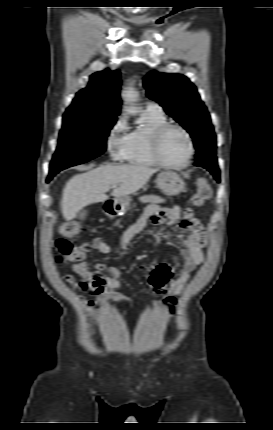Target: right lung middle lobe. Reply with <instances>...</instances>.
I'll list each match as a JSON object with an SVG mask.
<instances>
[{"label": "right lung middle lobe", "mask_w": 273, "mask_h": 430, "mask_svg": "<svg viewBox=\"0 0 273 430\" xmlns=\"http://www.w3.org/2000/svg\"><path fill=\"white\" fill-rule=\"evenodd\" d=\"M116 118H95L65 113L58 148L49 174L87 162L106 150V139Z\"/></svg>", "instance_id": "1"}]
</instances>
